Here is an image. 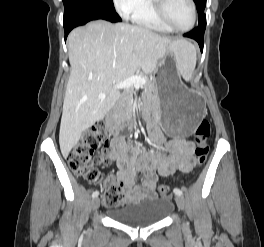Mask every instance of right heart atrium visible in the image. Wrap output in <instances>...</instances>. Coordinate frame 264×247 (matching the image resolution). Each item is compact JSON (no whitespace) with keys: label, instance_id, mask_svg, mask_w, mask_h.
Instances as JSON below:
<instances>
[{"label":"right heart atrium","instance_id":"d8ad5b80","mask_svg":"<svg viewBox=\"0 0 264 247\" xmlns=\"http://www.w3.org/2000/svg\"><path fill=\"white\" fill-rule=\"evenodd\" d=\"M141 0H113L117 11L123 17H129Z\"/></svg>","mask_w":264,"mask_h":247}]
</instances>
